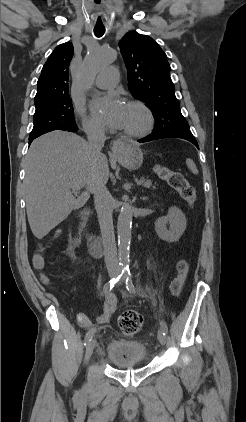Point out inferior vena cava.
Listing matches in <instances>:
<instances>
[{
	"instance_id": "1",
	"label": "inferior vena cava",
	"mask_w": 246,
	"mask_h": 422,
	"mask_svg": "<svg viewBox=\"0 0 246 422\" xmlns=\"http://www.w3.org/2000/svg\"><path fill=\"white\" fill-rule=\"evenodd\" d=\"M86 133L90 152L93 156L100 157L106 139L104 128L90 126ZM106 182L103 176H98L92 185V192L100 224L106 267L110 272H118L120 268L113 228L112 197L106 187Z\"/></svg>"
}]
</instances>
